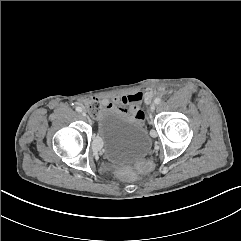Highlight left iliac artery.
<instances>
[{
	"label": "left iliac artery",
	"instance_id": "44dca946",
	"mask_svg": "<svg viewBox=\"0 0 241 241\" xmlns=\"http://www.w3.org/2000/svg\"><path fill=\"white\" fill-rule=\"evenodd\" d=\"M160 102H161V99L159 97H156L155 100H154V103L159 104Z\"/></svg>",
	"mask_w": 241,
	"mask_h": 241
}]
</instances>
